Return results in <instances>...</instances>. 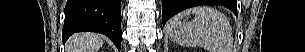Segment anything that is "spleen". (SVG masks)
Returning a JSON list of instances; mask_svg holds the SVG:
<instances>
[{"instance_id": "obj_1", "label": "spleen", "mask_w": 305, "mask_h": 52, "mask_svg": "<svg viewBox=\"0 0 305 52\" xmlns=\"http://www.w3.org/2000/svg\"><path fill=\"white\" fill-rule=\"evenodd\" d=\"M196 15L192 21L184 16ZM169 38L186 47H202L208 52H229L232 30L225 15L208 6H197L173 17L168 25Z\"/></svg>"}]
</instances>
